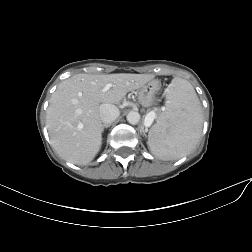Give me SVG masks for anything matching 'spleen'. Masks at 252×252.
Returning <instances> with one entry per match:
<instances>
[{
  "label": "spleen",
  "mask_w": 252,
  "mask_h": 252,
  "mask_svg": "<svg viewBox=\"0 0 252 252\" xmlns=\"http://www.w3.org/2000/svg\"><path fill=\"white\" fill-rule=\"evenodd\" d=\"M202 126V108L193 86L176 77L166 94L165 111L149 131L150 151L159 159H179L195 147Z\"/></svg>",
  "instance_id": "1"
}]
</instances>
